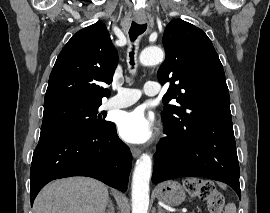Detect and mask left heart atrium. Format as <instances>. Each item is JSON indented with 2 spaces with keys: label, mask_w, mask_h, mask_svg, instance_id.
I'll list each match as a JSON object with an SVG mask.
<instances>
[{
  "label": "left heart atrium",
  "mask_w": 270,
  "mask_h": 213,
  "mask_svg": "<svg viewBox=\"0 0 270 213\" xmlns=\"http://www.w3.org/2000/svg\"><path fill=\"white\" fill-rule=\"evenodd\" d=\"M120 137L132 144L148 141L152 136V118L140 109L124 112L118 119Z\"/></svg>",
  "instance_id": "39dd6f15"
}]
</instances>
